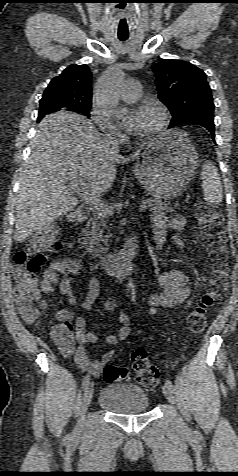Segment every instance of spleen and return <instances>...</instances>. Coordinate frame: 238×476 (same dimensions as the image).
<instances>
[{"label":"spleen","mask_w":238,"mask_h":476,"mask_svg":"<svg viewBox=\"0 0 238 476\" xmlns=\"http://www.w3.org/2000/svg\"><path fill=\"white\" fill-rule=\"evenodd\" d=\"M204 199L209 205H219L222 202V183L217 168L206 162L201 172Z\"/></svg>","instance_id":"3e777b00"}]
</instances>
